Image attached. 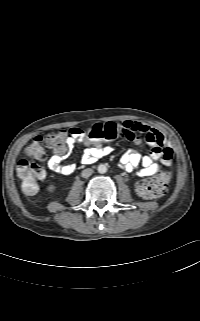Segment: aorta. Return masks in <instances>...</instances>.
Returning <instances> with one entry per match:
<instances>
[{
	"label": "aorta",
	"instance_id": "1",
	"mask_svg": "<svg viewBox=\"0 0 200 321\" xmlns=\"http://www.w3.org/2000/svg\"><path fill=\"white\" fill-rule=\"evenodd\" d=\"M97 170H98V172H99L100 174H104V173L107 172V167H106V165H104V164H100V165L98 166Z\"/></svg>",
	"mask_w": 200,
	"mask_h": 321
}]
</instances>
